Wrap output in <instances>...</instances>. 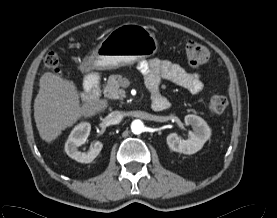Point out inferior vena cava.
<instances>
[{
	"label": "inferior vena cava",
	"mask_w": 277,
	"mask_h": 218,
	"mask_svg": "<svg viewBox=\"0 0 277 218\" xmlns=\"http://www.w3.org/2000/svg\"><path fill=\"white\" fill-rule=\"evenodd\" d=\"M123 119V114L120 111H112L106 117V122L109 124H117Z\"/></svg>",
	"instance_id": "obj_1"
}]
</instances>
